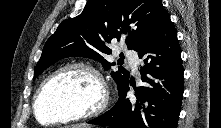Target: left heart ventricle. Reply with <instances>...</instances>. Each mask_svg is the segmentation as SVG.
<instances>
[{"instance_id": "left-heart-ventricle-1", "label": "left heart ventricle", "mask_w": 221, "mask_h": 128, "mask_svg": "<svg viewBox=\"0 0 221 128\" xmlns=\"http://www.w3.org/2000/svg\"><path fill=\"white\" fill-rule=\"evenodd\" d=\"M97 92L95 79L87 72L77 69L64 72L45 86L37 105L38 118L48 123L81 112L90 105Z\"/></svg>"}]
</instances>
